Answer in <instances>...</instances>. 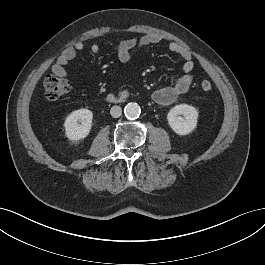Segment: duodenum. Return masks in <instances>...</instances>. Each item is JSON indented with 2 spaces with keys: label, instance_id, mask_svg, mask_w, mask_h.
<instances>
[{
  "label": "duodenum",
  "instance_id": "1",
  "mask_svg": "<svg viewBox=\"0 0 265 265\" xmlns=\"http://www.w3.org/2000/svg\"><path fill=\"white\" fill-rule=\"evenodd\" d=\"M107 100H108V101H117V102H122V100H121V99H119V98H114L113 96H108V97H107Z\"/></svg>",
  "mask_w": 265,
  "mask_h": 265
}]
</instances>
